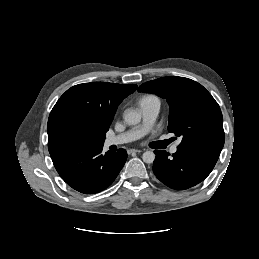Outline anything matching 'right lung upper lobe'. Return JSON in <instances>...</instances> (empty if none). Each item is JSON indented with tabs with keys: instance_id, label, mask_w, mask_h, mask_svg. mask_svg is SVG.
<instances>
[{
	"instance_id": "right-lung-upper-lobe-1",
	"label": "right lung upper lobe",
	"mask_w": 259,
	"mask_h": 259,
	"mask_svg": "<svg viewBox=\"0 0 259 259\" xmlns=\"http://www.w3.org/2000/svg\"><path fill=\"white\" fill-rule=\"evenodd\" d=\"M136 88V85L91 82L68 89L49 115V153L80 148L75 142V133L79 130L87 141V147L84 148L103 146L119 104Z\"/></svg>"
}]
</instances>
